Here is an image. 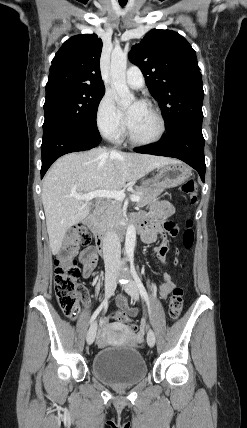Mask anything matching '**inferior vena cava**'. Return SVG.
Wrapping results in <instances>:
<instances>
[{
    "mask_svg": "<svg viewBox=\"0 0 247 428\" xmlns=\"http://www.w3.org/2000/svg\"><path fill=\"white\" fill-rule=\"evenodd\" d=\"M113 152H117L112 150ZM103 257L106 270L119 268L121 266V246L120 240L112 228L108 229L103 238Z\"/></svg>",
    "mask_w": 247,
    "mask_h": 428,
    "instance_id": "1",
    "label": "inferior vena cava"
}]
</instances>
